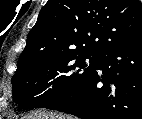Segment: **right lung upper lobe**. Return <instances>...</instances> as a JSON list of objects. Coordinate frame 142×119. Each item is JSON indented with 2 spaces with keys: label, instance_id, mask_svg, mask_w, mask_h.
Segmentation results:
<instances>
[{
  "label": "right lung upper lobe",
  "instance_id": "right-lung-upper-lobe-1",
  "mask_svg": "<svg viewBox=\"0 0 142 119\" xmlns=\"http://www.w3.org/2000/svg\"><path fill=\"white\" fill-rule=\"evenodd\" d=\"M140 40L138 0H48L28 34L18 69L65 51L100 55Z\"/></svg>",
  "mask_w": 142,
  "mask_h": 119
}]
</instances>
